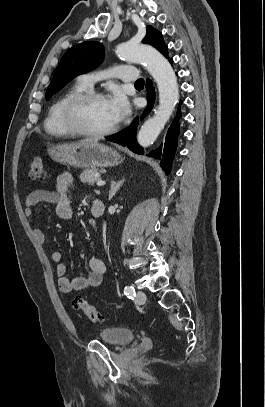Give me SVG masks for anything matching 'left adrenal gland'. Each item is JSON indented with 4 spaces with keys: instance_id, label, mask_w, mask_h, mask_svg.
<instances>
[{
    "instance_id": "left-adrenal-gland-1",
    "label": "left adrenal gland",
    "mask_w": 265,
    "mask_h": 407,
    "mask_svg": "<svg viewBox=\"0 0 265 407\" xmlns=\"http://www.w3.org/2000/svg\"><path fill=\"white\" fill-rule=\"evenodd\" d=\"M125 179H122L120 181H112L111 182V189L109 191V200L113 198V196L116 194V192L120 189V187L123 185Z\"/></svg>"
}]
</instances>
